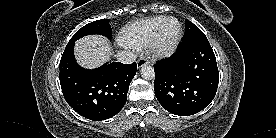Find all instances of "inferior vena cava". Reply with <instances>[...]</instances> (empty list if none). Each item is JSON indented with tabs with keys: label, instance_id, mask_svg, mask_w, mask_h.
Wrapping results in <instances>:
<instances>
[{
	"label": "inferior vena cava",
	"instance_id": "inferior-vena-cava-1",
	"mask_svg": "<svg viewBox=\"0 0 276 138\" xmlns=\"http://www.w3.org/2000/svg\"><path fill=\"white\" fill-rule=\"evenodd\" d=\"M117 60L123 64H131L136 60V55L128 51H119L116 55Z\"/></svg>",
	"mask_w": 276,
	"mask_h": 138
}]
</instances>
